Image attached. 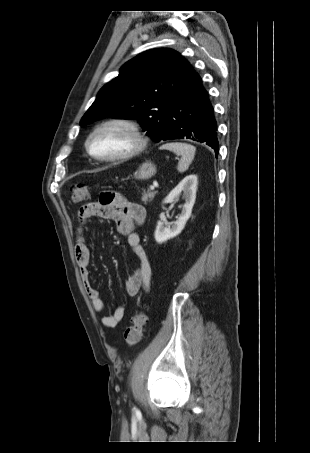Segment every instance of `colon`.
I'll use <instances>...</instances> for the list:
<instances>
[{
  "label": "colon",
  "instance_id": "obj_1",
  "mask_svg": "<svg viewBox=\"0 0 310 453\" xmlns=\"http://www.w3.org/2000/svg\"><path fill=\"white\" fill-rule=\"evenodd\" d=\"M89 197V186L78 184L72 188V201L74 203H81ZM114 195L112 192H103L100 195V201L103 204H109ZM147 317L142 311H138L131 320V325L126 328L124 332V341L127 346H134L138 344L143 336L144 326L146 324Z\"/></svg>",
  "mask_w": 310,
  "mask_h": 453
}]
</instances>
